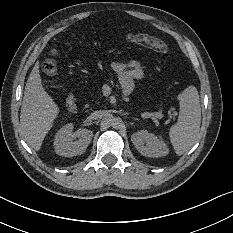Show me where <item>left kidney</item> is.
Instances as JSON below:
<instances>
[{"label": "left kidney", "mask_w": 233, "mask_h": 233, "mask_svg": "<svg viewBox=\"0 0 233 233\" xmlns=\"http://www.w3.org/2000/svg\"><path fill=\"white\" fill-rule=\"evenodd\" d=\"M133 145L145 157H164L170 153V149L161 133L156 135L142 129L131 135Z\"/></svg>", "instance_id": "obj_1"}]
</instances>
